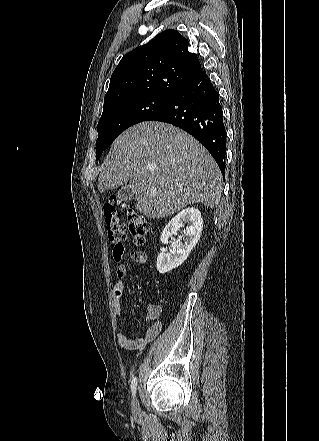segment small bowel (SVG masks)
<instances>
[{
	"instance_id": "1",
	"label": "small bowel",
	"mask_w": 319,
	"mask_h": 441,
	"mask_svg": "<svg viewBox=\"0 0 319 441\" xmlns=\"http://www.w3.org/2000/svg\"><path fill=\"white\" fill-rule=\"evenodd\" d=\"M131 258L137 263H144L146 261V255L139 251L133 252L131 254ZM126 275L127 267L123 264L119 265L116 269L117 281L112 288V301L118 323L120 322L123 293L125 288L123 280ZM147 311V325L144 329L143 336L134 339L127 336L121 330L117 332V341L122 348L129 351H141L158 337L162 330V322L160 320L162 305L160 302L149 303L147 305Z\"/></svg>"
}]
</instances>
